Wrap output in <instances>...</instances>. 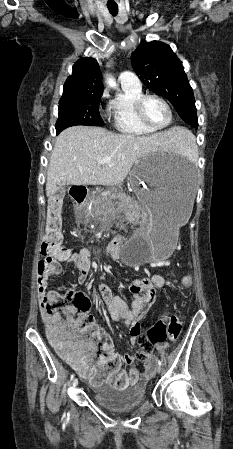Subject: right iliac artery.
<instances>
[{"label":"right iliac artery","mask_w":233,"mask_h":449,"mask_svg":"<svg viewBox=\"0 0 233 449\" xmlns=\"http://www.w3.org/2000/svg\"><path fill=\"white\" fill-rule=\"evenodd\" d=\"M74 378V374L71 375V380Z\"/></svg>","instance_id":"obj_1"}]
</instances>
